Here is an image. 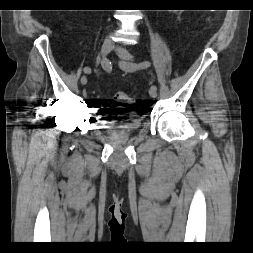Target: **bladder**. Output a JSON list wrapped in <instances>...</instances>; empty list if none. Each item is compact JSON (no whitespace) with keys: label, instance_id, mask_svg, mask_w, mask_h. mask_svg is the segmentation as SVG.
I'll return each mask as SVG.
<instances>
[{"label":"bladder","instance_id":"bladder-1","mask_svg":"<svg viewBox=\"0 0 253 253\" xmlns=\"http://www.w3.org/2000/svg\"><path fill=\"white\" fill-rule=\"evenodd\" d=\"M111 113H120L114 110ZM142 121L138 117L127 114H122V117L117 120H107L100 124V128L118 133H131L140 128Z\"/></svg>","mask_w":253,"mask_h":253}]
</instances>
